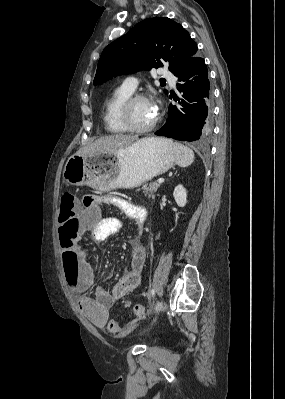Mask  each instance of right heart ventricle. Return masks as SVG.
Wrapping results in <instances>:
<instances>
[{"label": "right heart ventricle", "mask_w": 285, "mask_h": 399, "mask_svg": "<svg viewBox=\"0 0 285 399\" xmlns=\"http://www.w3.org/2000/svg\"><path fill=\"white\" fill-rule=\"evenodd\" d=\"M131 95L132 92L120 86L107 99L104 111V124L107 131L113 134L129 132L121 122L120 109L124 101Z\"/></svg>", "instance_id": "e07e8e85"}]
</instances>
